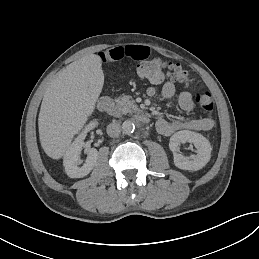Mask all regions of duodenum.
<instances>
[{
  "label": "duodenum",
  "mask_w": 259,
  "mask_h": 259,
  "mask_svg": "<svg viewBox=\"0 0 259 259\" xmlns=\"http://www.w3.org/2000/svg\"><path fill=\"white\" fill-rule=\"evenodd\" d=\"M98 108L101 112L112 115L118 116L120 114V107L118 104L109 97H103L98 101ZM135 118L141 123H148L149 117L147 114L143 112H138L135 114Z\"/></svg>",
  "instance_id": "410a0bca"
}]
</instances>
